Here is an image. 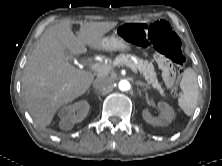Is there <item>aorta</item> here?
Wrapping results in <instances>:
<instances>
[{
  "instance_id": "aorta-1",
  "label": "aorta",
  "mask_w": 222,
  "mask_h": 166,
  "mask_svg": "<svg viewBox=\"0 0 222 166\" xmlns=\"http://www.w3.org/2000/svg\"><path fill=\"white\" fill-rule=\"evenodd\" d=\"M118 88L121 90V91H127L130 89V83L127 81V80H121L119 83H118Z\"/></svg>"
}]
</instances>
